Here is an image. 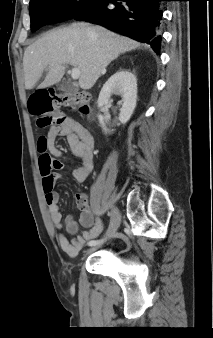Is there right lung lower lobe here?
I'll list each match as a JSON object with an SVG mask.
<instances>
[{"instance_id":"obj_1","label":"right lung lower lobe","mask_w":213,"mask_h":338,"mask_svg":"<svg viewBox=\"0 0 213 338\" xmlns=\"http://www.w3.org/2000/svg\"><path fill=\"white\" fill-rule=\"evenodd\" d=\"M162 1L169 0H96L73 19L99 24L147 43L159 54Z\"/></svg>"}]
</instances>
